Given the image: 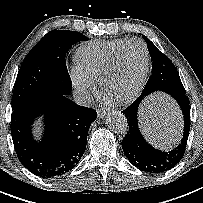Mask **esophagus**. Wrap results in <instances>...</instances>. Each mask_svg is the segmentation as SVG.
Masks as SVG:
<instances>
[{"mask_svg": "<svg viewBox=\"0 0 203 203\" xmlns=\"http://www.w3.org/2000/svg\"><path fill=\"white\" fill-rule=\"evenodd\" d=\"M107 114V110L105 109H98L97 110V115L99 118H103Z\"/></svg>", "mask_w": 203, "mask_h": 203, "instance_id": "34e87169", "label": "esophagus"}]
</instances>
